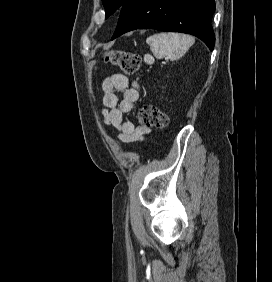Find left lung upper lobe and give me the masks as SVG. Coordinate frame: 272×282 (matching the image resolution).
<instances>
[{"label":"left lung upper lobe","mask_w":272,"mask_h":282,"mask_svg":"<svg viewBox=\"0 0 272 282\" xmlns=\"http://www.w3.org/2000/svg\"><path fill=\"white\" fill-rule=\"evenodd\" d=\"M126 0H102L106 11V18L120 9Z\"/></svg>","instance_id":"1"}]
</instances>
